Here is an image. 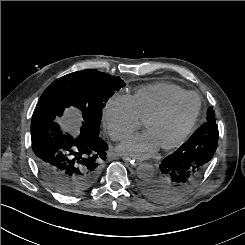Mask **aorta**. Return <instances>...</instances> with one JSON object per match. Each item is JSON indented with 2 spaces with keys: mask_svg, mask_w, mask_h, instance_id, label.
<instances>
[{
  "mask_svg": "<svg viewBox=\"0 0 245 245\" xmlns=\"http://www.w3.org/2000/svg\"><path fill=\"white\" fill-rule=\"evenodd\" d=\"M137 170H138L139 178L144 179V180L151 179L155 174L154 167L148 163H143L139 165Z\"/></svg>",
  "mask_w": 245,
  "mask_h": 245,
  "instance_id": "1",
  "label": "aorta"
}]
</instances>
